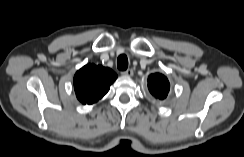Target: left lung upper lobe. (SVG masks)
<instances>
[{"instance_id":"5c2ea615","label":"left lung upper lobe","mask_w":244,"mask_h":157,"mask_svg":"<svg viewBox=\"0 0 244 157\" xmlns=\"http://www.w3.org/2000/svg\"><path fill=\"white\" fill-rule=\"evenodd\" d=\"M148 89L155 98L165 99L168 95L170 84L164 75L155 73L148 77Z\"/></svg>"}]
</instances>
